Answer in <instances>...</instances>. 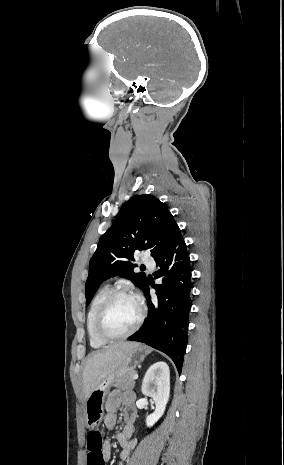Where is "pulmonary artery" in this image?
Returning <instances> with one entry per match:
<instances>
[{
    "instance_id": "pulmonary-artery-1",
    "label": "pulmonary artery",
    "mask_w": 284,
    "mask_h": 465,
    "mask_svg": "<svg viewBox=\"0 0 284 465\" xmlns=\"http://www.w3.org/2000/svg\"><path fill=\"white\" fill-rule=\"evenodd\" d=\"M140 262L141 263H151L152 262V255L151 254H141L140 255Z\"/></svg>"
}]
</instances>
